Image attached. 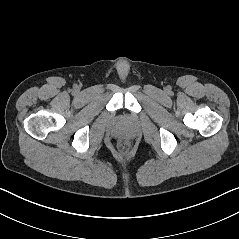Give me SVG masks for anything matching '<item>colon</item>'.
Instances as JSON below:
<instances>
[{
  "mask_svg": "<svg viewBox=\"0 0 239 239\" xmlns=\"http://www.w3.org/2000/svg\"><path fill=\"white\" fill-rule=\"evenodd\" d=\"M119 146L121 149H125L127 147V143L125 141H122Z\"/></svg>",
  "mask_w": 239,
  "mask_h": 239,
  "instance_id": "obj_1",
  "label": "colon"
}]
</instances>
